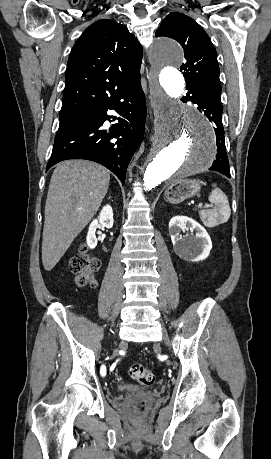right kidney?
Returning <instances> with one entry per match:
<instances>
[{
    "label": "right kidney",
    "mask_w": 271,
    "mask_h": 459,
    "mask_svg": "<svg viewBox=\"0 0 271 459\" xmlns=\"http://www.w3.org/2000/svg\"><path fill=\"white\" fill-rule=\"evenodd\" d=\"M99 224H101V226H105V228H112L114 220L111 206H104L103 210L100 212L98 220H94V222H91L89 226L87 233V243L89 247H92V249L97 245V237L95 235V231Z\"/></svg>",
    "instance_id": "1"
}]
</instances>
